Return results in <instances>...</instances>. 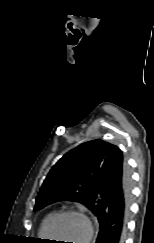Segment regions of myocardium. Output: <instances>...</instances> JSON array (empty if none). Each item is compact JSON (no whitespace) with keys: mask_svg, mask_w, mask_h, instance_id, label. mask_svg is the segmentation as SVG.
<instances>
[{"mask_svg":"<svg viewBox=\"0 0 154 243\" xmlns=\"http://www.w3.org/2000/svg\"><path fill=\"white\" fill-rule=\"evenodd\" d=\"M64 216H77L84 220V222L86 224V233H85L82 243H89L90 240L92 239L93 233H94L93 224H92L91 220L89 219V217L84 212L79 211V210H74V209H67V210L59 211L51 217V219L49 220V222L46 226L47 237L48 238L52 237L51 231H52L53 225L59 218L64 217Z\"/></svg>","mask_w":154,"mask_h":243,"instance_id":"myocardium-1","label":"myocardium"}]
</instances>
